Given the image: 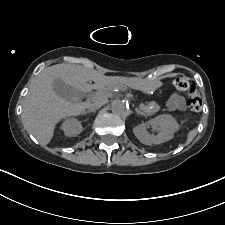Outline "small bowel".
<instances>
[{
	"mask_svg": "<svg viewBox=\"0 0 225 225\" xmlns=\"http://www.w3.org/2000/svg\"><path fill=\"white\" fill-rule=\"evenodd\" d=\"M167 108L171 111H185L186 105L184 98L180 94H172L167 101Z\"/></svg>",
	"mask_w": 225,
	"mask_h": 225,
	"instance_id": "1",
	"label": "small bowel"
}]
</instances>
